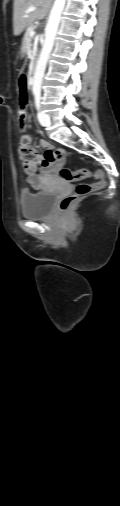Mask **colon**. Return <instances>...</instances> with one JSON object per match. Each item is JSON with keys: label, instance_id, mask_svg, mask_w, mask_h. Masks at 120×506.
I'll list each match as a JSON object with an SVG mask.
<instances>
[{"label": "colon", "instance_id": "obj_1", "mask_svg": "<svg viewBox=\"0 0 120 506\" xmlns=\"http://www.w3.org/2000/svg\"><path fill=\"white\" fill-rule=\"evenodd\" d=\"M15 77L19 80L17 118L19 125L23 127L26 122L27 96L25 80L28 77V72L26 69H17ZM19 158L25 173L31 175L36 172L39 165V155L31 144V138L26 134H23L20 139ZM48 158L52 159L50 156H48ZM60 176L67 181H78L82 178L89 177L90 172L86 169L72 170L69 168H62L60 170ZM95 177L99 179L98 182L94 184L79 183L76 186L74 194L64 197L59 203L60 211H66L77 199L102 189L105 186L104 172L102 170L96 171Z\"/></svg>", "mask_w": 120, "mask_h": 506}]
</instances>
